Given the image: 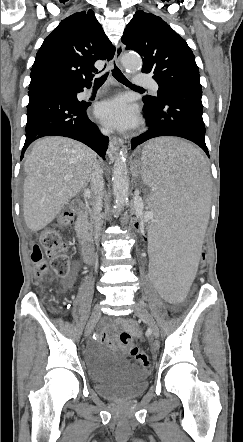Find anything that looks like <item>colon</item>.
I'll return each mask as SVG.
<instances>
[{
    "mask_svg": "<svg viewBox=\"0 0 243 442\" xmlns=\"http://www.w3.org/2000/svg\"><path fill=\"white\" fill-rule=\"evenodd\" d=\"M77 212V203L65 206L59 214V225L68 226L71 224L74 215ZM125 228L129 230L135 229L140 233L139 241L142 244L148 242L147 231L141 227L139 222L129 221L125 223ZM42 249L45 250L47 257L50 259L48 264L45 259ZM67 244L62 240L61 236L55 229H46L40 236V244L35 245L31 253V261L34 267V275L39 279H45L49 273V265L53 272L59 276L64 277L70 270V259L67 255ZM209 260L208 255H201L196 268L199 272L204 270ZM120 342L129 350L130 355L142 367L149 368L151 361L148 354L134 345L132 336L127 332H122L119 336Z\"/></svg>",
    "mask_w": 243,
    "mask_h": 442,
    "instance_id": "obj_1",
    "label": "colon"
}]
</instances>
